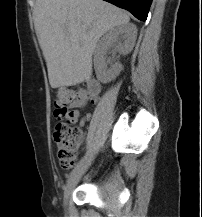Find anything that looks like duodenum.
I'll use <instances>...</instances> for the list:
<instances>
[{
  "label": "duodenum",
  "mask_w": 202,
  "mask_h": 217,
  "mask_svg": "<svg viewBox=\"0 0 202 217\" xmlns=\"http://www.w3.org/2000/svg\"><path fill=\"white\" fill-rule=\"evenodd\" d=\"M88 93L91 95L98 94L100 92V85L97 81L90 79L88 82Z\"/></svg>",
  "instance_id": "1"
}]
</instances>
